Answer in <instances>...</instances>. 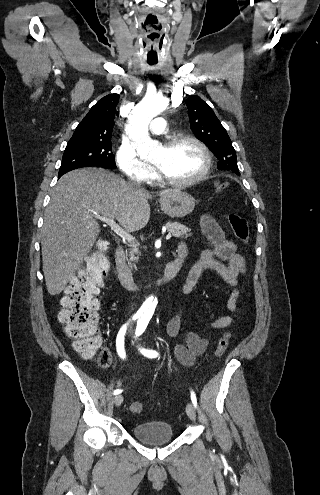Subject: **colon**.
Here are the masks:
<instances>
[{
  "label": "colon",
  "instance_id": "obj_1",
  "mask_svg": "<svg viewBox=\"0 0 320 495\" xmlns=\"http://www.w3.org/2000/svg\"><path fill=\"white\" fill-rule=\"evenodd\" d=\"M228 186L229 183L226 181L219 182L216 185V192L222 193ZM228 222L234 236L241 243L246 244L249 240V227L246 218L238 213H230ZM107 250L108 243L105 240L100 241L96 251L88 257L85 267L66 288V294L62 298V307L58 314L66 334L74 341L75 349L85 356H97L103 366L109 363L110 352L100 347L97 322L98 294L104 287L111 270ZM230 337V332L225 331L219 338L215 351L218 358L225 354ZM142 410L143 404L141 402L134 401L130 404V411L133 414H139Z\"/></svg>",
  "mask_w": 320,
  "mask_h": 495
}]
</instances>
